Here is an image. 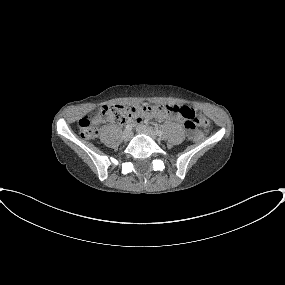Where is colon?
<instances>
[{
    "label": "colon",
    "mask_w": 285,
    "mask_h": 285,
    "mask_svg": "<svg viewBox=\"0 0 285 285\" xmlns=\"http://www.w3.org/2000/svg\"><path fill=\"white\" fill-rule=\"evenodd\" d=\"M165 109L170 111L182 110L186 117L185 126L190 138L198 139L200 137V131L198 127L209 126V121L200 114H195L193 111H189L187 108H181L179 106L164 105H148L139 104L137 106L125 107L119 105H103L96 113H87L80 118L79 132L83 139H91L97 135V127L101 124H107L111 122H120L126 118L141 117L145 114H154L163 112Z\"/></svg>",
    "instance_id": "colon-1"
}]
</instances>
